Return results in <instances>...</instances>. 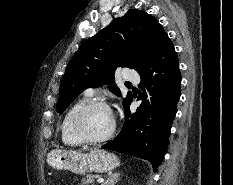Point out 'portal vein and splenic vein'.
I'll use <instances>...</instances> for the list:
<instances>
[{
    "label": "portal vein and splenic vein",
    "mask_w": 233,
    "mask_h": 185,
    "mask_svg": "<svg viewBox=\"0 0 233 185\" xmlns=\"http://www.w3.org/2000/svg\"><path fill=\"white\" fill-rule=\"evenodd\" d=\"M97 182H98V183H103V182H104V179H103V178H98Z\"/></svg>",
    "instance_id": "1"
}]
</instances>
